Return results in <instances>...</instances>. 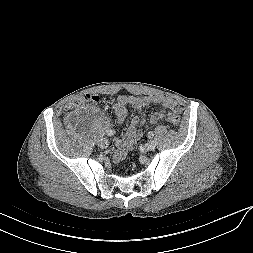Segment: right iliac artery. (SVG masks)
<instances>
[{
	"instance_id": "obj_1",
	"label": "right iliac artery",
	"mask_w": 253,
	"mask_h": 253,
	"mask_svg": "<svg viewBox=\"0 0 253 253\" xmlns=\"http://www.w3.org/2000/svg\"><path fill=\"white\" fill-rule=\"evenodd\" d=\"M116 133V131L114 129H107L105 131V134L108 135V136H112Z\"/></svg>"
}]
</instances>
